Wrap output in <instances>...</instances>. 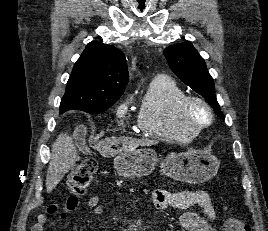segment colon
<instances>
[{"label": "colon", "mask_w": 268, "mask_h": 231, "mask_svg": "<svg viewBox=\"0 0 268 231\" xmlns=\"http://www.w3.org/2000/svg\"><path fill=\"white\" fill-rule=\"evenodd\" d=\"M96 169V162L93 160H87L71 170L67 189V211H71L76 208L78 198L88 189ZM42 220L43 217L40 218V222ZM223 228L224 231H251V227L248 224H245L232 216L224 218Z\"/></svg>", "instance_id": "obj_1"}]
</instances>
